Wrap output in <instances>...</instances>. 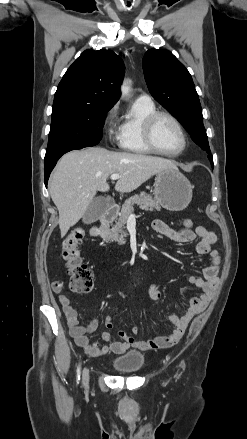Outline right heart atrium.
Segmentation results:
<instances>
[{
    "label": "right heart atrium",
    "mask_w": 247,
    "mask_h": 439,
    "mask_svg": "<svg viewBox=\"0 0 247 439\" xmlns=\"http://www.w3.org/2000/svg\"><path fill=\"white\" fill-rule=\"evenodd\" d=\"M103 128L110 144L119 143L121 127L118 124L117 105L112 106L105 114Z\"/></svg>",
    "instance_id": "obj_1"
}]
</instances>
